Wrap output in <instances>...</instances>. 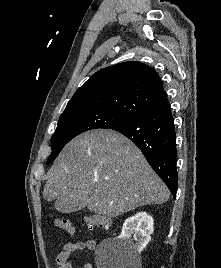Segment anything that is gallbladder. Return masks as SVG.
Listing matches in <instances>:
<instances>
[{"label":"gallbladder","mask_w":221,"mask_h":268,"mask_svg":"<svg viewBox=\"0 0 221 268\" xmlns=\"http://www.w3.org/2000/svg\"><path fill=\"white\" fill-rule=\"evenodd\" d=\"M86 199H58L55 207L59 213L77 212L84 208Z\"/></svg>","instance_id":"gallbladder-1"}]
</instances>
